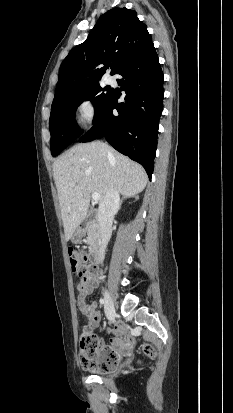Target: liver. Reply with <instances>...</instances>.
Instances as JSON below:
<instances>
[{
  "label": "liver",
  "instance_id": "obj_1",
  "mask_svg": "<svg viewBox=\"0 0 233 413\" xmlns=\"http://www.w3.org/2000/svg\"><path fill=\"white\" fill-rule=\"evenodd\" d=\"M53 172L66 241L85 219L92 193L100 195V206L110 188L134 196L148 181L140 164L100 141L73 146L55 160Z\"/></svg>",
  "mask_w": 233,
  "mask_h": 413
}]
</instances>
